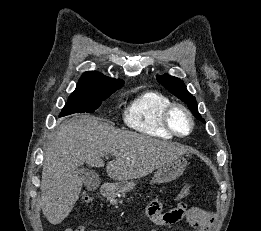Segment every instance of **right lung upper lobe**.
I'll use <instances>...</instances> for the list:
<instances>
[{"mask_svg":"<svg viewBox=\"0 0 261 231\" xmlns=\"http://www.w3.org/2000/svg\"><path fill=\"white\" fill-rule=\"evenodd\" d=\"M124 84L121 79L107 77L96 71L85 72L77 83L72 94H102L115 92Z\"/></svg>","mask_w":261,"mask_h":231,"instance_id":"cb5924a9","label":"right lung upper lobe"}]
</instances>
